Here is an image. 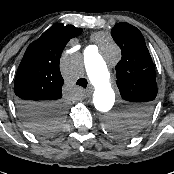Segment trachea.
Segmentation results:
<instances>
[{
  "instance_id": "obj_1",
  "label": "trachea",
  "mask_w": 174,
  "mask_h": 174,
  "mask_svg": "<svg viewBox=\"0 0 174 174\" xmlns=\"http://www.w3.org/2000/svg\"><path fill=\"white\" fill-rule=\"evenodd\" d=\"M87 84H88V82H87V79H85V78H80L76 82V85H79V86H81L83 88H86L87 87Z\"/></svg>"
}]
</instances>
